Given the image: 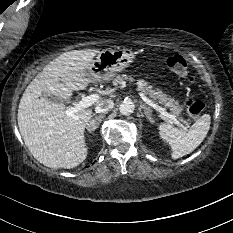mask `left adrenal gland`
I'll return each mask as SVG.
<instances>
[{
	"label": "left adrenal gland",
	"mask_w": 233,
	"mask_h": 233,
	"mask_svg": "<svg viewBox=\"0 0 233 233\" xmlns=\"http://www.w3.org/2000/svg\"><path fill=\"white\" fill-rule=\"evenodd\" d=\"M140 109H143L146 118L151 123H153V118L151 117V109L148 106H146L145 104H143L142 102H140Z\"/></svg>",
	"instance_id": "left-adrenal-gland-1"
}]
</instances>
